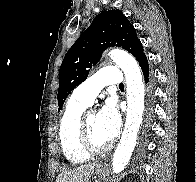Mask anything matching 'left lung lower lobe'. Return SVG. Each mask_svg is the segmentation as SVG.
Wrapping results in <instances>:
<instances>
[{
    "label": "left lung lower lobe",
    "mask_w": 196,
    "mask_h": 182,
    "mask_svg": "<svg viewBox=\"0 0 196 182\" xmlns=\"http://www.w3.org/2000/svg\"><path fill=\"white\" fill-rule=\"evenodd\" d=\"M139 65L143 71L144 77H145V82L148 83V76H149V65L146 56H143L139 60Z\"/></svg>",
    "instance_id": "1"
}]
</instances>
